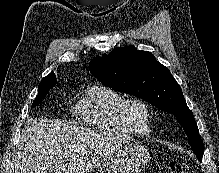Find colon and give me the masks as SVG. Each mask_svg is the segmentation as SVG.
Masks as SVG:
<instances>
[{
  "instance_id": "obj_1",
  "label": "colon",
  "mask_w": 219,
  "mask_h": 173,
  "mask_svg": "<svg viewBox=\"0 0 219 173\" xmlns=\"http://www.w3.org/2000/svg\"><path fill=\"white\" fill-rule=\"evenodd\" d=\"M169 169H170V173H188L189 172V166L183 159H180V158L172 159L169 162Z\"/></svg>"
}]
</instances>
